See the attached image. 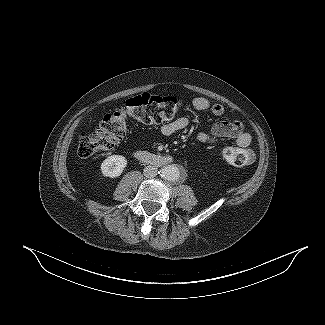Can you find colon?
Instances as JSON below:
<instances>
[{"mask_svg": "<svg viewBox=\"0 0 325 325\" xmlns=\"http://www.w3.org/2000/svg\"><path fill=\"white\" fill-rule=\"evenodd\" d=\"M180 107L181 102L173 96L147 93L134 96L104 115L94 131L80 134L78 153L81 157H89L111 150L124 138L129 119L148 125L160 124L172 120ZM221 155L226 162L236 166H245L251 162L249 152L239 147H226Z\"/></svg>", "mask_w": 325, "mask_h": 325, "instance_id": "obj_1", "label": "colon"}]
</instances>
